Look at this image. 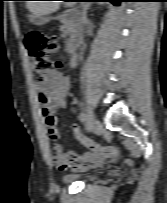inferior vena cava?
I'll list each match as a JSON object with an SVG mask.
<instances>
[{"label": "inferior vena cava", "mask_w": 167, "mask_h": 203, "mask_svg": "<svg viewBox=\"0 0 167 203\" xmlns=\"http://www.w3.org/2000/svg\"><path fill=\"white\" fill-rule=\"evenodd\" d=\"M82 24L85 26L87 24V18H86V13L85 11L82 13L81 17Z\"/></svg>", "instance_id": "inferior-vena-cava-1"}]
</instances>
